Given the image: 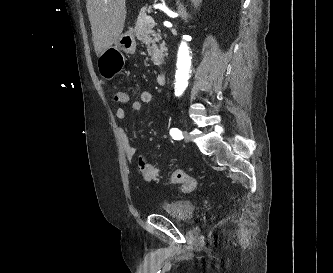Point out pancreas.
I'll return each instance as SVG.
<instances>
[{
  "instance_id": "cf45deb5",
  "label": "pancreas",
  "mask_w": 333,
  "mask_h": 273,
  "mask_svg": "<svg viewBox=\"0 0 333 273\" xmlns=\"http://www.w3.org/2000/svg\"><path fill=\"white\" fill-rule=\"evenodd\" d=\"M134 33L146 45L147 52L154 65L160 66L164 61L167 48L164 42L160 43L162 37L159 31L153 30V26L146 22V7L142 8L138 15ZM157 43H159V46Z\"/></svg>"
}]
</instances>
